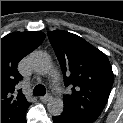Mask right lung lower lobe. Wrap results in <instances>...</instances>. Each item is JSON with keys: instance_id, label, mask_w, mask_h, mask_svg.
Segmentation results:
<instances>
[{"instance_id": "right-lung-lower-lobe-1", "label": "right lung lower lobe", "mask_w": 123, "mask_h": 123, "mask_svg": "<svg viewBox=\"0 0 123 123\" xmlns=\"http://www.w3.org/2000/svg\"><path fill=\"white\" fill-rule=\"evenodd\" d=\"M21 123H26V118L21 121Z\"/></svg>"}]
</instances>
